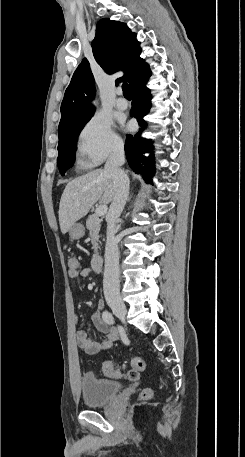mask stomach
Instances as JSON below:
<instances>
[{"mask_svg": "<svg viewBox=\"0 0 245 457\" xmlns=\"http://www.w3.org/2000/svg\"><path fill=\"white\" fill-rule=\"evenodd\" d=\"M85 229L83 224H80V222H74L72 226H70L69 229V235L70 239H81V237H84Z\"/></svg>", "mask_w": 245, "mask_h": 457, "instance_id": "0dacf381", "label": "stomach"}]
</instances>
